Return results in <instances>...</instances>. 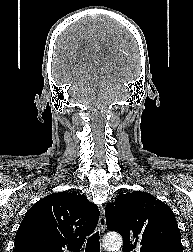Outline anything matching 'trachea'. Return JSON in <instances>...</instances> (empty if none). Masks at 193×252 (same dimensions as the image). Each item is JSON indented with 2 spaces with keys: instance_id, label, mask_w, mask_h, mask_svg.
<instances>
[{
  "instance_id": "trachea-1",
  "label": "trachea",
  "mask_w": 193,
  "mask_h": 252,
  "mask_svg": "<svg viewBox=\"0 0 193 252\" xmlns=\"http://www.w3.org/2000/svg\"><path fill=\"white\" fill-rule=\"evenodd\" d=\"M85 252H100V236L98 231L87 239Z\"/></svg>"
}]
</instances>
